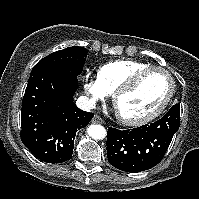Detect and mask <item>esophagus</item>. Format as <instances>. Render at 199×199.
Returning a JSON list of instances; mask_svg holds the SVG:
<instances>
[{"instance_id":"1","label":"esophagus","mask_w":199,"mask_h":199,"mask_svg":"<svg viewBox=\"0 0 199 199\" xmlns=\"http://www.w3.org/2000/svg\"><path fill=\"white\" fill-rule=\"evenodd\" d=\"M103 120H102V118L101 117H99V116H97V115H95L94 117H93V119H92V123H94V124H103Z\"/></svg>"}]
</instances>
